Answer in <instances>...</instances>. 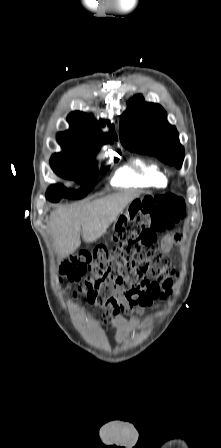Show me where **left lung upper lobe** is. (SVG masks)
Returning a JSON list of instances; mask_svg holds the SVG:
<instances>
[{
  "label": "left lung upper lobe",
  "mask_w": 221,
  "mask_h": 448,
  "mask_svg": "<svg viewBox=\"0 0 221 448\" xmlns=\"http://www.w3.org/2000/svg\"><path fill=\"white\" fill-rule=\"evenodd\" d=\"M166 116L160 105L145 102L141 95L135 96L121 116L120 140L130 151L156 156L180 168L184 148L176 128L167 122Z\"/></svg>",
  "instance_id": "left-lung-upper-lobe-1"
}]
</instances>
